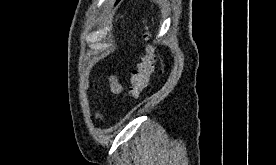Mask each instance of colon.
Segmentation results:
<instances>
[{"label":"colon","instance_id":"obj_1","mask_svg":"<svg viewBox=\"0 0 276 165\" xmlns=\"http://www.w3.org/2000/svg\"><path fill=\"white\" fill-rule=\"evenodd\" d=\"M156 65V56L154 49L147 46L136 68L131 74V85L129 88V96L137 98L142 91L148 86L150 77L154 73Z\"/></svg>","mask_w":276,"mask_h":165}]
</instances>
